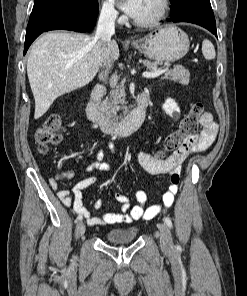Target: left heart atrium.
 <instances>
[{"label":"left heart atrium","instance_id":"1","mask_svg":"<svg viewBox=\"0 0 247 296\" xmlns=\"http://www.w3.org/2000/svg\"><path fill=\"white\" fill-rule=\"evenodd\" d=\"M146 0H119L121 8L131 17L136 18L142 11Z\"/></svg>","mask_w":247,"mask_h":296}]
</instances>
